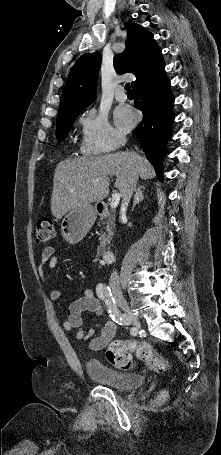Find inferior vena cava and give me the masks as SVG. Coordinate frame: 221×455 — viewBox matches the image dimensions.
<instances>
[{"label":"inferior vena cava","mask_w":221,"mask_h":455,"mask_svg":"<svg viewBox=\"0 0 221 455\" xmlns=\"http://www.w3.org/2000/svg\"><path fill=\"white\" fill-rule=\"evenodd\" d=\"M119 143L124 145L126 143V138L124 136H120ZM137 181H138V174L136 172H134L128 178L127 185L122 194V198H123L122 204H121V215L122 216L125 215V213H126L131 196L133 194V191L136 188ZM109 285H110V287L120 288L119 276H118L117 271H113L111 273V276L109 279Z\"/></svg>","instance_id":"1"}]
</instances>
